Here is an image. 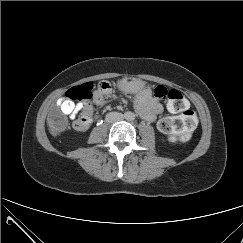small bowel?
Masks as SVG:
<instances>
[{"mask_svg":"<svg viewBox=\"0 0 243 243\" xmlns=\"http://www.w3.org/2000/svg\"><path fill=\"white\" fill-rule=\"evenodd\" d=\"M108 92H102L100 90H96L94 92V103L95 104H101L103 102V97ZM57 105L60 107L61 111L65 115H69L70 119L73 120V125L75 127V122L78 118H76V115L80 112H87L91 115L93 111V106L91 103H73L72 101L68 99H59L57 102ZM135 108L139 116L148 121L153 122L157 115L160 114L163 111V106L159 99L152 96L151 91L149 88H143L141 89L135 98ZM86 126L82 129H85ZM77 129V128H76Z\"/></svg>","mask_w":243,"mask_h":243,"instance_id":"1","label":"small bowel"}]
</instances>
